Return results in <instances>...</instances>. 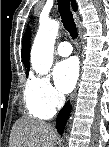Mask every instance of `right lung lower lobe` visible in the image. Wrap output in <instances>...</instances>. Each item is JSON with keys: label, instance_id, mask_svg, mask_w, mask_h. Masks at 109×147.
<instances>
[{"label": "right lung lower lobe", "instance_id": "1", "mask_svg": "<svg viewBox=\"0 0 109 147\" xmlns=\"http://www.w3.org/2000/svg\"><path fill=\"white\" fill-rule=\"evenodd\" d=\"M70 110H71V106H70V102L68 101L58 114L56 120V128L60 135H62L64 131Z\"/></svg>", "mask_w": 109, "mask_h": 147}]
</instances>
